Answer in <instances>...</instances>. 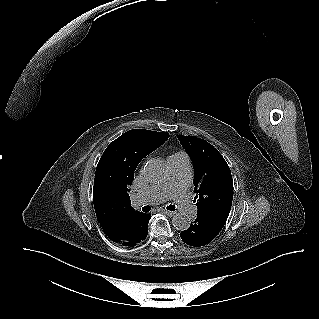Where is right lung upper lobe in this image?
<instances>
[{
  "label": "right lung upper lobe",
  "instance_id": "cb5924a9",
  "mask_svg": "<svg viewBox=\"0 0 319 319\" xmlns=\"http://www.w3.org/2000/svg\"><path fill=\"white\" fill-rule=\"evenodd\" d=\"M168 138L167 132L133 129L110 143L104 154L113 153L121 156L124 162L135 170L145 156L160 147ZM133 178L134 175L118 193L105 198L93 199L97 220L111 240L117 239L126 224L135 215L141 213L131 207L128 194Z\"/></svg>",
  "mask_w": 319,
  "mask_h": 319
}]
</instances>
